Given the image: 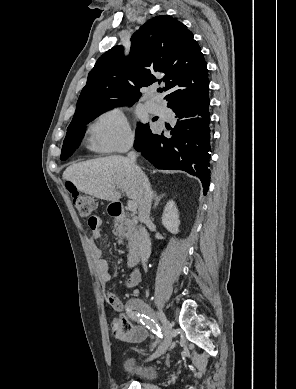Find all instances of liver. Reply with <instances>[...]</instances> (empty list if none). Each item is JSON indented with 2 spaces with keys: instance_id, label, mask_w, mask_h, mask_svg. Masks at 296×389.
Here are the masks:
<instances>
[{
  "instance_id": "obj_1",
  "label": "liver",
  "mask_w": 296,
  "mask_h": 389,
  "mask_svg": "<svg viewBox=\"0 0 296 389\" xmlns=\"http://www.w3.org/2000/svg\"><path fill=\"white\" fill-rule=\"evenodd\" d=\"M136 168L128 158L112 155L72 164L63 179L79 191L107 201H118L121 190L139 206L141 188Z\"/></svg>"
}]
</instances>
